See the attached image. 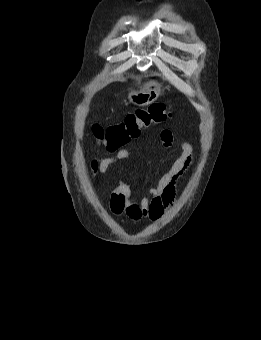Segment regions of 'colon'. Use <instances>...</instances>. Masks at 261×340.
<instances>
[{"label":"colon","instance_id":"colon-1","mask_svg":"<svg viewBox=\"0 0 261 340\" xmlns=\"http://www.w3.org/2000/svg\"><path fill=\"white\" fill-rule=\"evenodd\" d=\"M171 117L170 105L158 102L128 114L123 121L117 124L108 127L94 124L92 132L96 139L109 151H114L130 140L137 138L142 130L163 123Z\"/></svg>","mask_w":261,"mask_h":340}]
</instances>
